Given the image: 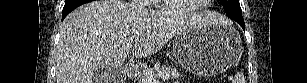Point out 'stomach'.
Instances as JSON below:
<instances>
[{"label": "stomach", "mask_w": 307, "mask_h": 83, "mask_svg": "<svg viewBox=\"0 0 307 83\" xmlns=\"http://www.w3.org/2000/svg\"><path fill=\"white\" fill-rule=\"evenodd\" d=\"M242 52L240 35L231 25L214 23L176 35L173 54L192 74L214 76L232 66Z\"/></svg>", "instance_id": "1"}]
</instances>
